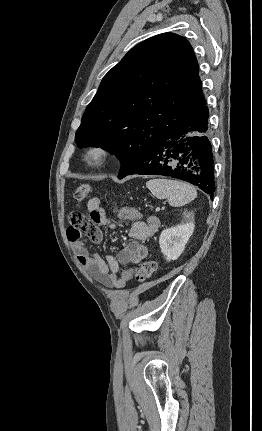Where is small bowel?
Here are the masks:
<instances>
[{
  "label": "small bowel",
  "instance_id": "c3829d8e",
  "mask_svg": "<svg viewBox=\"0 0 262 431\" xmlns=\"http://www.w3.org/2000/svg\"><path fill=\"white\" fill-rule=\"evenodd\" d=\"M91 220L86 221L81 215L77 224L67 229L68 241L77 253L78 261L86 271L102 285L112 289H121L132 280L134 269L131 263L139 262L148 254L146 242L159 229L160 220L149 217L147 222L134 221L128 230L131 241L117 254H108L104 260L98 252L87 250L81 237L86 235L91 241L99 243L102 234L99 226L113 227L114 224L107 213L101 208V199L91 198L87 203ZM125 218L137 219L140 215L135 211H125Z\"/></svg>",
  "mask_w": 262,
  "mask_h": 431
}]
</instances>
